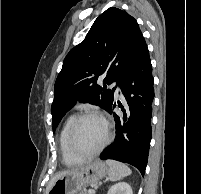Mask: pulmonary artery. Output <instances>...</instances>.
<instances>
[{"label": "pulmonary artery", "mask_w": 201, "mask_h": 194, "mask_svg": "<svg viewBox=\"0 0 201 194\" xmlns=\"http://www.w3.org/2000/svg\"><path fill=\"white\" fill-rule=\"evenodd\" d=\"M112 86L115 87L116 93H120L121 92V89H120L119 85L116 82L113 83Z\"/></svg>", "instance_id": "e3ab8cb5"}]
</instances>
